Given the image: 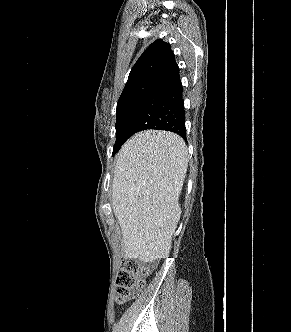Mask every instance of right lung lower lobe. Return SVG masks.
<instances>
[{
	"mask_svg": "<svg viewBox=\"0 0 291 332\" xmlns=\"http://www.w3.org/2000/svg\"><path fill=\"white\" fill-rule=\"evenodd\" d=\"M182 91L177 75L146 94L134 108L124 129L126 140L145 129L171 131L186 139Z\"/></svg>",
	"mask_w": 291,
	"mask_h": 332,
	"instance_id": "98d812e1",
	"label": "right lung lower lobe"
}]
</instances>
